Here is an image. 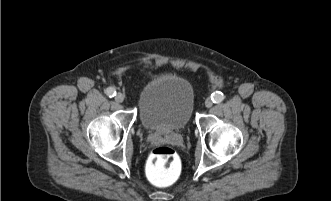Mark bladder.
I'll return each mask as SVG.
<instances>
[{"label": "bladder", "instance_id": "31cf9c89", "mask_svg": "<svg viewBox=\"0 0 331 201\" xmlns=\"http://www.w3.org/2000/svg\"><path fill=\"white\" fill-rule=\"evenodd\" d=\"M141 125L159 133L181 131L194 111L191 84L176 75H161L146 83L137 98Z\"/></svg>", "mask_w": 331, "mask_h": 201}]
</instances>
